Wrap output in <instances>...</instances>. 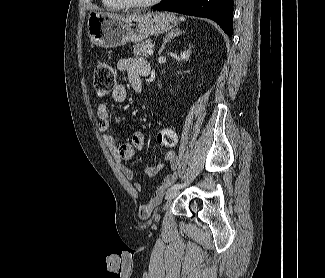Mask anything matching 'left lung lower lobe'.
I'll return each mask as SVG.
<instances>
[{
	"mask_svg": "<svg viewBox=\"0 0 325 278\" xmlns=\"http://www.w3.org/2000/svg\"><path fill=\"white\" fill-rule=\"evenodd\" d=\"M152 8L209 18L218 23L228 36H232L233 0H163Z\"/></svg>",
	"mask_w": 325,
	"mask_h": 278,
	"instance_id": "left-lung-lower-lobe-1",
	"label": "left lung lower lobe"
}]
</instances>
